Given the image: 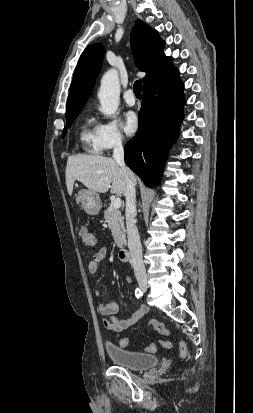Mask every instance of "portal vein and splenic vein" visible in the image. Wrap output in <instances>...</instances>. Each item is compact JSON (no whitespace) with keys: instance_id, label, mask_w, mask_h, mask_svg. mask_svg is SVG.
<instances>
[{"instance_id":"1","label":"portal vein and splenic vein","mask_w":253,"mask_h":413,"mask_svg":"<svg viewBox=\"0 0 253 413\" xmlns=\"http://www.w3.org/2000/svg\"><path fill=\"white\" fill-rule=\"evenodd\" d=\"M121 199L120 198H115L113 201V207L116 209H119L121 207Z\"/></svg>"}]
</instances>
